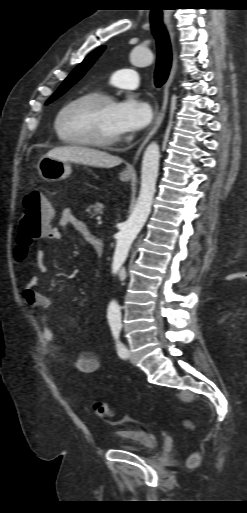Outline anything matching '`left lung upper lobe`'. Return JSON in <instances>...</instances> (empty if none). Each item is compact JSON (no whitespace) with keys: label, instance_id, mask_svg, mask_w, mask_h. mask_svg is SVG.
Wrapping results in <instances>:
<instances>
[{"label":"left lung upper lobe","instance_id":"left-lung-upper-lobe-1","mask_svg":"<svg viewBox=\"0 0 247 513\" xmlns=\"http://www.w3.org/2000/svg\"><path fill=\"white\" fill-rule=\"evenodd\" d=\"M105 46L99 47L90 53L82 63H80L67 77V79L63 82V84L59 87V89L52 95V97L46 102V104L51 103L56 100L58 97L63 95L72 85H74L85 73L86 71L93 65V63L97 60V58L104 51Z\"/></svg>","mask_w":247,"mask_h":513}]
</instances>
